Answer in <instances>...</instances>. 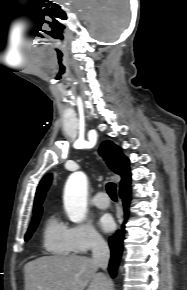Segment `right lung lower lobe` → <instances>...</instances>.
Instances as JSON below:
<instances>
[{"label": "right lung lower lobe", "instance_id": "1", "mask_svg": "<svg viewBox=\"0 0 187 290\" xmlns=\"http://www.w3.org/2000/svg\"><path fill=\"white\" fill-rule=\"evenodd\" d=\"M120 196L123 199L125 216L127 217L128 204L130 202V192L120 193ZM125 223L126 221H124L121 230H118L113 236L109 238V247L111 249V259H110L108 270L112 277L116 276L118 263L121 258Z\"/></svg>", "mask_w": 187, "mask_h": 290}]
</instances>
